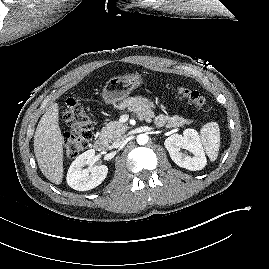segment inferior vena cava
<instances>
[{"mask_svg": "<svg viewBox=\"0 0 269 269\" xmlns=\"http://www.w3.org/2000/svg\"><path fill=\"white\" fill-rule=\"evenodd\" d=\"M123 140H124V137H120V138L116 139L112 144L113 147L118 148L121 145V143L123 142Z\"/></svg>", "mask_w": 269, "mask_h": 269, "instance_id": "inferior-vena-cava-1", "label": "inferior vena cava"}]
</instances>
